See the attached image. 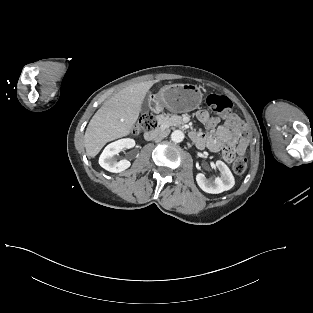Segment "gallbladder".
<instances>
[{
    "label": "gallbladder",
    "instance_id": "gallbladder-1",
    "mask_svg": "<svg viewBox=\"0 0 313 313\" xmlns=\"http://www.w3.org/2000/svg\"><path fill=\"white\" fill-rule=\"evenodd\" d=\"M143 106H144V108L146 110L148 109V101H147V99L144 100Z\"/></svg>",
    "mask_w": 313,
    "mask_h": 313
}]
</instances>
